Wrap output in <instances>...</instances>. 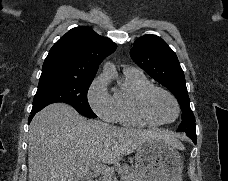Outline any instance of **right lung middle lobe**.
<instances>
[{"label":"right lung middle lobe","mask_w":228,"mask_h":181,"mask_svg":"<svg viewBox=\"0 0 228 181\" xmlns=\"http://www.w3.org/2000/svg\"><path fill=\"white\" fill-rule=\"evenodd\" d=\"M91 83L92 80L66 79L57 76L40 77L32 110L40 111L49 104L62 102L70 104L86 117L96 118L87 100Z\"/></svg>","instance_id":"obj_1"}]
</instances>
